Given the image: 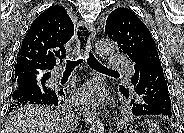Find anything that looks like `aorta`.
Returning a JSON list of instances; mask_svg holds the SVG:
<instances>
[{
	"mask_svg": "<svg viewBox=\"0 0 184 133\" xmlns=\"http://www.w3.org/2000/svg\"><path fill=\"white\" fill-rule=\"evenodd\" d=\"M95 51L101 58H109L115 53V45L108 40H98L95 43ZM89 133H104V124L96 119L90 126Z\"/></svg>",
	"mask_w": 184,
	"mask_h": 133,
	"instance_id": "obj_1",
	"label": "aorta"
}]
</instances>
